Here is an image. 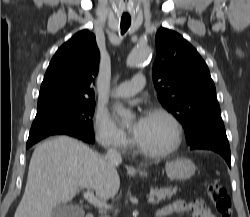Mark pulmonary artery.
Wrapping results in <instances>:
<instances>
[{
    "label": "pulmonary artery",
    "instance_id": "e3ab8cb5",
    "mask_svg": "<svg viewBox=\"0 0 250 217\" xmlns=\"http://www.w3.org/2000/svg\"><path fill=\"white\" fill-rule=\"evenodd\" d=\"M145 86V76L135 75L131 81L123 82L111 91V95L117 98H128L134 96Z\"/></svg>",
    "mask_w": 250,
    "mask_h": 217
}]
</instances>
